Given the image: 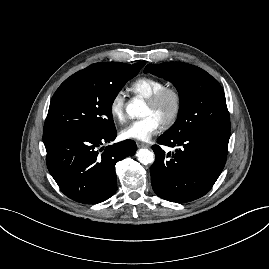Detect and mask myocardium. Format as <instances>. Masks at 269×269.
<instances>
[{
  "instance_id": "myocardium-1",
  "label": "myocardium",
  "mask_w": 269,
  "mask_h": 269,
  "mask_svg": "<svg viewBox=\"0 0 269 269\" xmlns=\"http://www.w3.org/2000/svg\"><path fill=\"white\" fill-rule=\"evenodd\" d=\"M167 96L172 98L173 108L169 116L162 122L164 128L171 127L178 120L183 106L182 92L176 86H163L146 98V103L149 106L156 107Z\"/></svg>"
}]
</instances>
